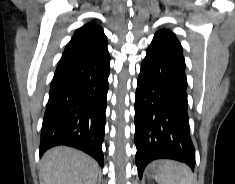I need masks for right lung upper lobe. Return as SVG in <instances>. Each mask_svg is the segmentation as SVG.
Here are the masks:
<instances>
[{
    "mask_svg": "<svg viewBox=\"0 0 235 184\" xmlns=\"http://www.w3.org/2000/svg\"><path fill=\"white\" fill-rule=\"evenodd\" d=\"M105 56H109L107 38L101 26L90 22L75 31L62 58L93 59Z\"/></svg>",
    "mask_w": 235,
    "mask_h": 184,
    "instance_id": "cb5924a9",
    "label": "right lung upper lobe"
}]
</instances>
